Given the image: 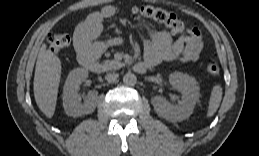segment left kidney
<instances>
[{
	"label": "left kidney",
	"mask_w": 259,
	"mask_h": 156,
	"mask_svg": "<svg viewBox=\"0 0 259 156\" xmlns=\"http://www.w3.org/2000/svg\"><path fill=\"white\" fill-rule=\"evenodd\" d=\"M170 84L181 91V101L176 105H170L162 96H155L152 104L158 115L169 121H182L192 113L196 103L199 101V86L195 78L174 72L169 75Z\"/></svg>",
	"instance_id": "obj_1"
}]
</instances>
